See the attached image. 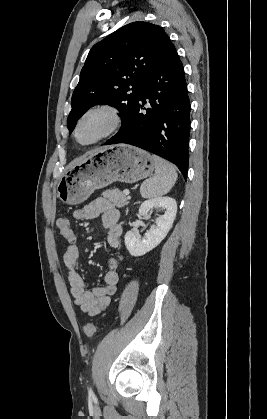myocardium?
Masks as SVG:
<instances>
[{"label": "myocardium", "mask_w": 267, "mask_h": 419, "mask_svg": "<svg viewBox=\"0 0 267 419\" xmlns=\"http://www.w3.org/2000/svg\"><path fill=\"white\" fill-rule=\"evenodd\" d=\"M96 114H102L107 119V126L103 130L102 133H100L96 138L89 142H82L79 139V129L81 125L84 123V121ZM122 125V115L120 110L113 104L110 103H99L96 105H93L89 108H87L79 117V119L76 122L75 128H74V138L75 140L82 146H92L100 141L108 138L112 134H114Z\"/></svg>", "instance_id": "myocardium-1"}]
</instances>
